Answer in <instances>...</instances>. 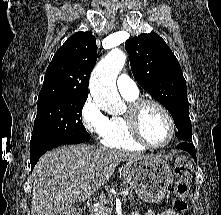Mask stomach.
Wrapping results in <instances>:
<instances>
[{"label":"stomach","mask_w":221,"mask_h":215,"mask_svg":"<svg viewBox=\"0 0 221 215\" xmlns=\"http://www.w3.org/2000/svg\"><path fill=\"white\" fill-rule=\"evenodd\" d=\"M127 184L145 202H160L173 182L170 165L160 155L128 161L122 168Z\"/></svg>","instance_id":"0dacf381"}]
</instances>
